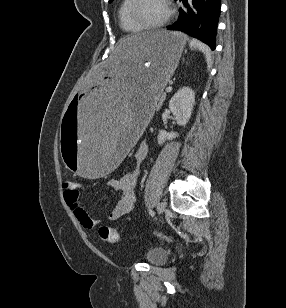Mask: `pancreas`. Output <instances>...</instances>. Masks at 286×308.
Here are the masks:
<instances>
[{
  "instance_id": "1",
  "label": "pancreas",
  "mask_w": 286,
  "mask_h": 308,
  "mask_svg": "<svg viewBox=\"0 0 286 308\" xmlns=\"http://www.w3.org/2000/svg\"><path fill=\"white\" fill-rule=\"evenodd\" d=\"M165 99V94L160 95V97L158 98L156 104L154 105V107H157V109L160 108V106L162 105L163 100Z\"/></svg>"
}]
</instances>
